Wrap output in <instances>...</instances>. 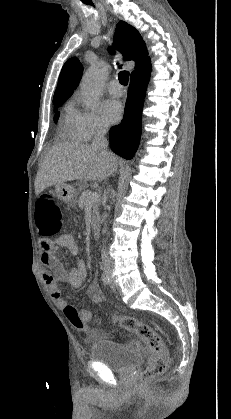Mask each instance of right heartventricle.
<instances>
[{
	"instance_id": "obj_1",
	"label": "right heart ventricle",
	"mask_w": 231,
	"mask_h": 419,
	"mask_svg": "<svg viewBox=\"0 0 231 419\" xmlns=\"http://www.w3.org/2000/svg\"><path fill=\"white\" fill-rule=\"evenodd\" d=\"M76 109L72 104H67L64 108V112L60 123V134L61 136L73 142H79L82 140L76 125Z\"/></svg>"
}]
</instances>
